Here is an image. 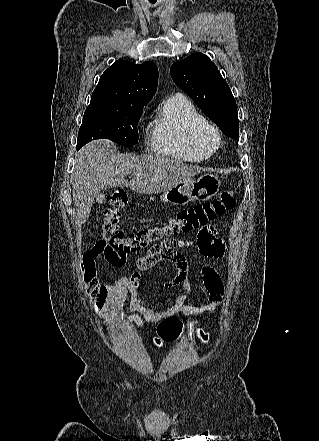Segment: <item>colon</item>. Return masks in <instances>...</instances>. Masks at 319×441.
Masks as SVG:
<instances>
[{
    "label": "colon",
    "instance_id": "1",
    "mask_svg": "<svg viewBox=\"0 0 319 441\" xmlns=\"http://www.w3.org/2000/svg\"><path fill=\"white\" fill-rule=\"evenodd\" d=\"M235 193V190L224 189L215 199L179 210L159 225L125 234L120 230L119 223L121 210L127 205L128 197L124 190H115L107 199L102 240L99 245L103 248V254L108 261L112 264L123 265L128 253L146 249L164 238L194 229H200L198 235L202 236L210 222L222 217L235 207ZM83 271L84 281L89 286L95 275L94 265L83 266ZM182 326L181 320L174 316L162 320L157 326L154 342L161 346L163 343L175 341L182 333ZM199 337L203 342L208 339V335L203 331H200Z\"/></svg>",
    "mask_w": 319,
    "mask_h": 441
}]
</instances>
